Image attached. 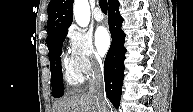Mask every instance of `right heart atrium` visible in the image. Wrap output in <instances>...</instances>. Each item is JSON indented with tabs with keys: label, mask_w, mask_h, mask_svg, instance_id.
<instances>
[{
	"label": "right heart atrium",
	"mask_w": 193,
	"mask_h": 112,
	"mask_svg": "<svg viewBox=\"0 0 193 112\" xmlns=\"http://www.w3.org/2000/svg\"><path fill=\"white\" fill-rule=\"evenodd\" d=\"M67 40L73 64L82 76H92L103 69V62L87 33L72 27L68 30Z\"/></svg>",
	"instance_id": "right-heart-atrium-1"
}]
</instances>
